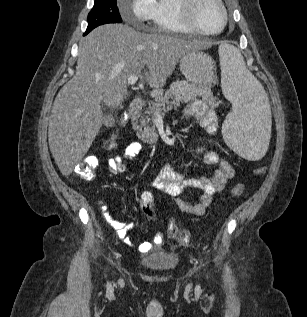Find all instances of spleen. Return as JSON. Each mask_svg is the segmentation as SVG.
Returning <instances> with one entry per match:
<instances>
[{
  "instance_id": "obj_1",
  "label": "spleen",
  "mask_w": 307,
  "mask_h": 317,
  "mask_svg": "<svg viewBox=\"0 0 307 317\" xmlns=\"http://www.w3.org/2000/svg\"><path fill=\"white\" fill-rule=\"evenodd\" d=\"M219 58L223 94L235 103L233 113L222 126L223 138L235 155H243V160H258L267 148L273 106L237 48L220 45Z\"/></svg>"
}]
</instances>
